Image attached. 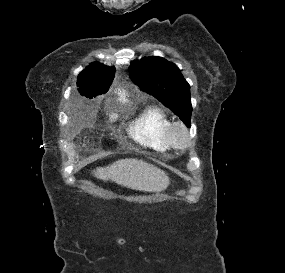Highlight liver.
<instances>
[{
  "label": "liver",
  "instance_id": "liver-1",
  "mask_svg": "<svg viewBox=\"0 0 285 273\" xmlns=\"http://www.w3.org/2000/svg\"><path fill=\"white\" fill-rule=\"evenodd\" d=\"M93 172L98 179L110 180L133 190L160 192L169 185V177L163 170L133 158L118 160Z\"/></svg>",
  "mask_w": 285,
  "mask_h": 273
}]
</instances>
